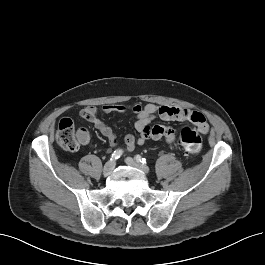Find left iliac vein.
I'll return each instance as SVG.
<instances>
[{
	"label": "left iliac vein",
	"instance_id": "obj_1",
	"mask_svg": "<svg viewBox=\"0 0 265 265\" xmlns=\"http://www.w3.org/2000/svg\"><path fill=\"white\" fill-rule=\"evenodd\" d=\"M125 162L127 165L129 166H132V167H135L139 170H141L144 174H148L150 172V169L148 166L146 165H143V164H140V163H137L133 158L131 157H127L125 159Z\"/></svg>",
	"mask_w": 265,
	"mask_h": 265
}]
</instances>
